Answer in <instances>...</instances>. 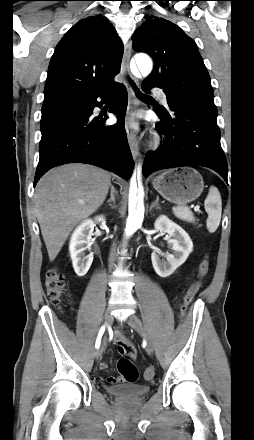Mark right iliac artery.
<instances>
[{"mask_svg":"<svg viewBox=\"0 0 254 440\" xmlns=\"http://www.w3.org/2000/svg\"><path fill=\"white\" fill-rule=\"evenodd\" d=\"M104 331H105V326H102V327L100 328V330H99L98 337H97V340H96V343H95V347H96L97 349L100 347V344H101V337H102Z\"/></svg>","mask_w":254,"mask_h":440,"instance_id":"1","label":"right iliac artery"}]
</instances>
